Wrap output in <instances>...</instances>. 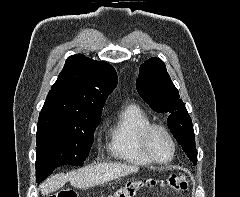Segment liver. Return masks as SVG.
<instances>
[{
  "label": "liver",
  "instance_id": "liver-1",
  "mask_svg": "<svg viewBox=\"0 0 240 197\" xmlns=\"http://www.w3.org/2000/svg\"><path fill=\"white\" fill-rule=\"evenodd\" d=\"M138 170V166L118 163L88 165L67 174L53 175L40 185V189L43 195H47L59 190L68 181L75 188H89L135 173Z\"/></svg>",
  "mask_w": 240,
  "mask_h": 197
}]
</instances>
